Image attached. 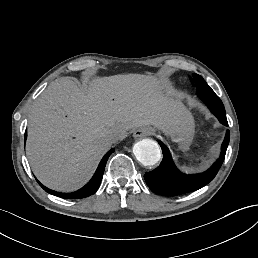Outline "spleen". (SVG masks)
<instances>
[{"instance_id": "obj_1", "label": "spleen", "mask_w": 258, "mask_h": 258, "mask_svg": "<svg viewBox=\"0 0 258 258\" xmlns=\"http://www.w3.org/2000/svg\"><path fill=\"white\" fill-rule=\"evenodd\" d=\"M183 171L186 173H193V172H195V169L190 167V168H185Z\"/></svg>"}]
</instances>
